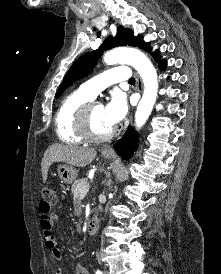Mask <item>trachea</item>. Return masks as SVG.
Here are the masks:
<instances>
[{
    "mask_svg": "<svg viewBox=\"0 0 221 274\" xmlns=\"http://www.w3.org/2000/svg\"><path fill=\"white\" fill-rule=\"evenodd\" d=\"M129 83H135V78H131L130 80H129Z\"/></svg>",
    "mask_w": 221,
    "mask_h": 274,
    "instance_id": "obj_1",
    "label": "trachea"
}]
</instances>
